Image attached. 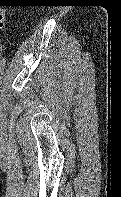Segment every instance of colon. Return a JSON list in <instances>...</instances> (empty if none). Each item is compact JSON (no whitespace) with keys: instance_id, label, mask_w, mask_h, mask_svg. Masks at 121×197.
I'll return each mask as SVG.
<instances>
[{"instance_id":"colon-1","label":"colon","mask_w":121,"mask_h":197,"mask_svg":"<svg viewBox=\"0 0 121 197\" xmlns=\"http://www.w3.org/2000/svg\"><path fill=\"white\" fill-rule=\"evenodd\" d=\"M5 25H6V12L1 4L0 5V32L3 31Z\"/></svg>"}]
</instances>
